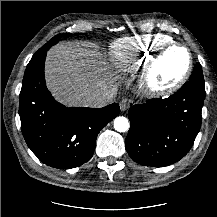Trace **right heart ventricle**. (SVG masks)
Returning <instances> with one entry per match:
<instances>
[{
	"instance_id": "obj_1",
	"label": "right heart ventricle",
	"mask_w": 217,
	"mask_h": 217,
	"mask_svg": "<svg viewBox=\"0 0 217 217\" xmlns=\"http://www.w3.org/2000/svg\"><path fill=\"white\" fill-rule=\"evenodd\" d=\"M173 40L163 34L125 37L111 45V59L122 70H132L149 61L150 56Z\"/></svg>"
}]
</instances>
